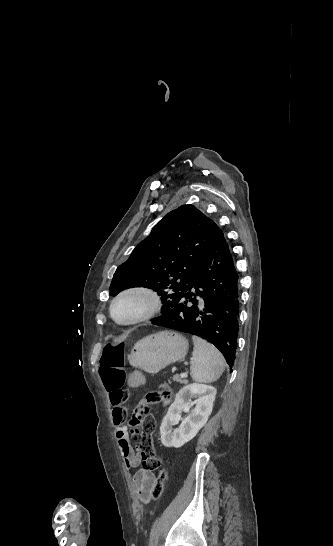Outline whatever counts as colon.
<instances>
[{
    "mask_svg": "<svg viewBox=\"0 0 333 546\" xmlns=\"http://www.w3.org/2000/svg\"><path fill=\"white\" fill-rule=\"evenodd\" d=\"M99 374L105 389L108 392L120 391L124 385L127 374L124 368V344L121 342L108 343L100 357ZM172 392L169 387L162 386L160 389L147 394L145 402L139 403L128 423L129 433L135 448L142 451L143 469L147 471H158L157 480L154 484L150 497L157 499L162 494L166 471L162 458L156 452L153 433L156 427V420L151 413L148 404L158 403L170 399ZM124 398L122 399V401ZM119 401V400H115Z\"/></svg>",
    "mask_w": 333,
    "mask_h": 546,
    "instance_id": "5ec220e1",
    "label": "colon"
}]
</instances>
